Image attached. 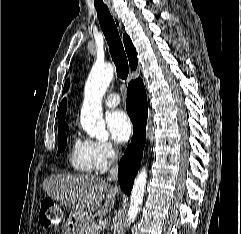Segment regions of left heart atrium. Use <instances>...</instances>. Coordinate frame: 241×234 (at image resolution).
<instances>
[{"mask_svg":"<svg viewBox=\"0 0 241 234\" xmlns=\"http://www.w3.org/2000/svg\"><path fill=\"white\" fill-rule=\"evenodd\" d=\"M107 125L113 139L120 143L127 141L132 133V123L127 114L121 110L108 115Z\"/></svg>","mask_w":241,"mask_h":234,"instance_id":"39dd6f15","label":"left heart atrium"}]
</instances>
